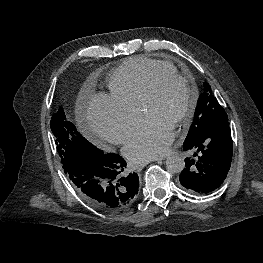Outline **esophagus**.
<instances>
[{"mask_svg":"<svg viewBox=\"0 0 263 263\" xmlns=\"http://www.w3.org/2000/svg\"><path fill=\"white\" fill-rule=\"evenodd\" d=\"M160 160H162V159H156V161H160ZM147 165V163H141V164H139L137 167L138 168H143L144 166H146Z\"/></svg>","mask_w":263,"mask_h":263,"instance_id":"1","label":"esophagus"}]
</instances>
